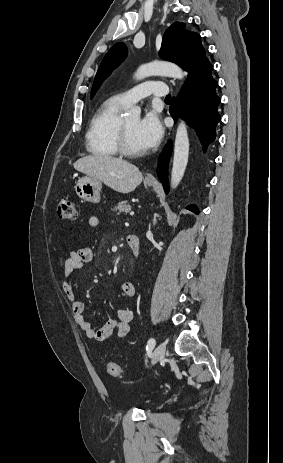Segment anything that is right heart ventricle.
Returning <instances> with one entry per match:
<instances>
[{
  "instance_id": "e07e8e85",
  "label": "right heart ventricle",
  "mask_w": 283,
  "mask_h": 463,
  "mask_svg": "<svg viewBox=\"0 0 283 463\" xmlns=\"http://www.w3.org/2000/svg\"><path fill=\"white\" fill-rule=\"evenodd\" d=\"M126 107L118 96L108 98L98 107L86 133L89 153L100 157H114L118 154V126L122 119L121 113Z\"/></svg>"
}]
</instances>
